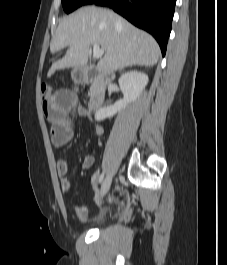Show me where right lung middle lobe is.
<instances>
[{
  "instance_id": "obj_1",
  "label": "right lung middle lobe",
  "mask_w": 227,
  "mask_h": 265,
  "mask_svg": "<svg viewBox=\"0 0 227 265\" xmlns=\"http://www.w3.org/2000/svg\"><path fill=\"white\" fill-rule=\"evenodd\" d=\"M95 0H62V5L66 13H70L80 6L92 4Z\"/></svg>"
}]
</instances>
